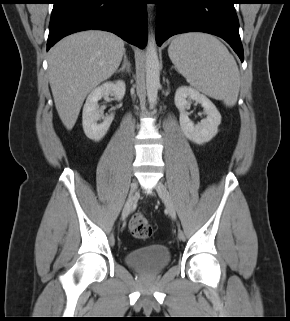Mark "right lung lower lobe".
Wrapping results in <instances>:
<instances>
[{
	"mask_svg": "<svg viewBox=\"0 0 290 321\" xmlns=\"http://www.w3.org/2000/svg\"><path fill=\"white\" fill-rule=\"evenodd\" d=\"M49 50L63 37L98 29L113 32L140 48L146 46V3L149 0H53Z\"/></svg>",
	"mask_w": 290,
	"mask_h": 321,
	"instance_id": "obj_1",
	"label": "right lung lower lobe"
}]
</instances>
